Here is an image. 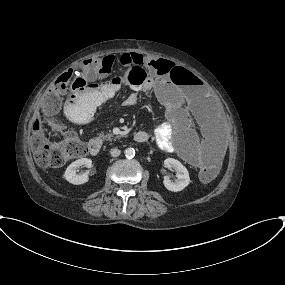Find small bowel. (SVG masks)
Instances as JSON below:
<instances>
[{
  "label": "small bowel",
  "mask_w": 285,
  "mask_h": 285,
  "mask_svg": "<svg viewBox=\"0 0 285 285\" xmlns=\"http://www.w3.org/2000/svg\"><path fill=\"white\" fill-rule=\"evenodd\" d=\"M155 62L156 58L143 59L140 55L134 56L131 53H125L122 61L125 63H138L139 61ZM148 73L151 76L149 82L143 88L134 89L122 100L124 106H132L137 103L139 92L148 91L153 88L154 80L161 79L170 81V76L166 77L159 74L154 65L148 67ZM120 86L114 81H96L91 80L83 87L76 89L71 93L65 103V114L73 122L83 123L89 114L85 109L75 106L80 103L86 109L96 108L101 103L114 98L119 94ZM196 100V93L191 97L179 95L173 100L164 101L163 106L166 110L167 122L159 124L154 129V138L157 146L163 150H174L177 143H181L183 148L180 151L185 161L196 166L203 167L213 164L221 152L224 150L225 141L222 135L203 117H197L199 124V133L191 129L193 120V104ZM173 125L180 126L187 131L185 140L176 139L173 133Z\"/></svg>",
  "instance_id": "small-bowel-1"
}]
</instances>
